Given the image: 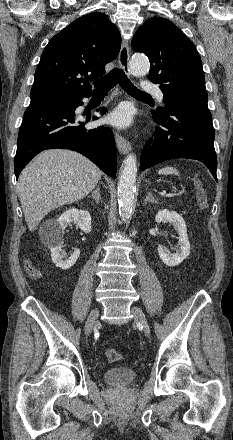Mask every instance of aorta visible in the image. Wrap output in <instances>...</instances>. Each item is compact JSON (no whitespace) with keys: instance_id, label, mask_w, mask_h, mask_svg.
<instances>
[{"instance_id":"aorta-1","label":"aorta","mask_w":233,"mask_h":440,"mask_svg":"<svg viewBox=\"0 0 233 440\" xmlns=\"http://www.w3.org/2000/svg\"><path fill=\"white\" fill-rule=\"evenodd\" d=\"M129 69L132 75L145 76L149 72V60L143 54H135L129 62ZM137 159L136 155L129 154L122 165L118 182V204L119 214L127 219L132 211L134 193L136 189Z\"/></svg>"}]
</instances>
